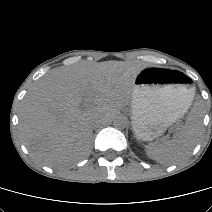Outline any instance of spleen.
I'll use <instances>...</instances> for the list:
<instances>
[{
	"instance_id": "spleen-1",
	"label": "spleen",
	"mask_w": 212,
	"mask_h": 212,
	"mask_svg": "<svg viewBox=\"0 0 212 212\" xmlns=\"http://www.w3.org/2000/svg\"><path fill=\"white\" fill-rule=\"evenodd\" d=\"M201 134V123L190 118L180 133L171 140L154 142L146 146L149 158L162 164H175L189 156Z\"/></svg>"
}]
</instances>
